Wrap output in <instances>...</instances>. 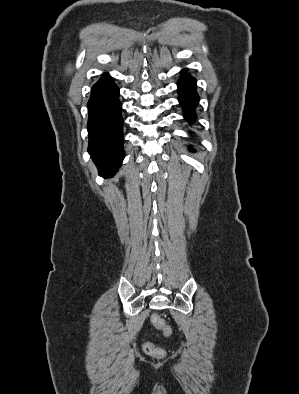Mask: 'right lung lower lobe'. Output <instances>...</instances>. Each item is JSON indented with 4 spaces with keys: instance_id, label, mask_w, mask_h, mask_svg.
Returning <instances> with one entry per match:
<instances>
[{
    "instance_id": "98d812e1",
    "label": "right lung lower lobe",
    "mask_w": 299,
    "mask_h": 394,
    "mask_svg": "<svg viewBox=\"0 0 299 394\" xmlns=\"http://www.w3.org/2000/svg\"><path fill=\"white\" fill-rule=\"evenodd\" d=\"M119 88L108 74L92 87L88 101V152L99 172L111 175L124 159Z\"/></svg>"
}]
</instances>
